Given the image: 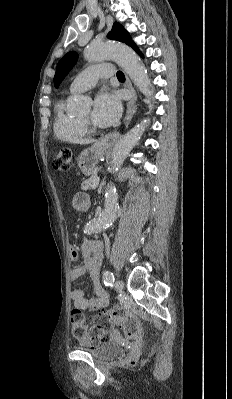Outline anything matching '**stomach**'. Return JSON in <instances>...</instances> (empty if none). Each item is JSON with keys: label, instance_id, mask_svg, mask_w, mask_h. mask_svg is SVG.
I'll return each instance as SVG.
<instances>
[{"label": "stomach", "instance_id": "stomach-1", "mask_svg": "<svg viewBox=\"0 0 232 399\" xmlns=\"http://www.w3.org/2000/svg\"><path fill=\"white\" fill-rule=\"evenodd\" d=\"M108 150H104L103 142L99 140L96 144H93L91 148H87V150H83L80 156L77 158V164L85 174V176H91L94 172V168H96L99 160L105 156Z\"/></svg>", "mask_w": 232, "mask_h": 399}]
</instances>
